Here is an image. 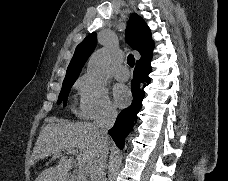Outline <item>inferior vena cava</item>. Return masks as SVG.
Listing matches in <instances>:
<instances>
[{
	"mask_svg": "<svg viewBox=\"0 0 228 181\" xmlns=\"http://www.w3.org/2000/svg\"><path fill=\"white\" fill-rule=\"evenodd\" d=\"M117 113L111 105H105L97 115L93 125L98 139H108V131L112 129L116 121ZM109 147H102L101 151L94 157L90 167V181H106L104 169L108 159Z\"/></svg>",
	"mask_w": 228,
	"mask_h": 181,
	"instance_id": "602c4592",
	"label": "inferior vena cava"
}]
</instances>
